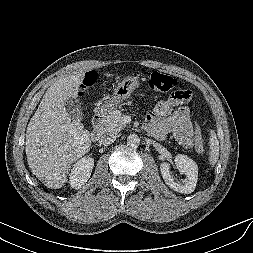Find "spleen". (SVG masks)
Wrapping results in <instances>:
<instances>
[{"mask_svg":"<svg viewBox=\"0 0 253 253\" xmlns=\"http://www.w3.org/2000/svg\"><path fill=\"white\" fill-rule=\"evenodd\" d=\"M209 163L211 166H214L219 158V141L215 135L214 130L210 131V140H209Z\"/></svg>","mask_w":253,"mask_h":253,"instance_id":"obj_1","label":"spleen"}]
</instances>
